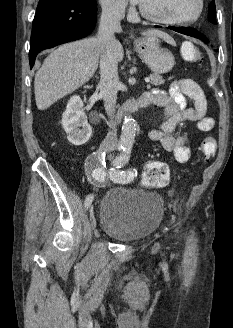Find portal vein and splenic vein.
I'll list each match as a JSON object with an SVG mask.
<instances>
[{
	"label": "portal vein and splenic vein",
	"mask_w": 233,
	"mask_h": 328,
	"mask_svg": "<svg viewBox=\"0 0 233 328\" xmlns=\"http://www.w3.org/2000/svg\"><path fill=\"white\" fill-rule=\"evenodd\" d=\"M145 82H146V83H149V82H150V78L146 77V78H145Z\"/></svg>",
	"instance_id": "portal-vein-and-splenic-vein-1"
}]
</instances>
